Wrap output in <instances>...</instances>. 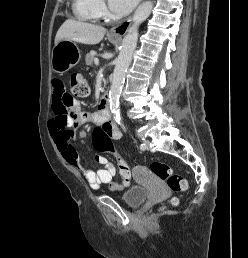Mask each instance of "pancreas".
Segmentation results:
<instances>
[{"instance_id": "1", "label": "pancreas", "mask_w": 248, "mask_h": 258, "mask_svg": "<svg viewBox=\"0 0 248 258\" xmlns=\"http://www.w3.org/2000/svg\"><path fill=\"white\" fill-rule=\"evenodd\" d=\"M95 60V52L91 51L90 53H87L85 61L88 66H92L93 62Z\"/></svg>"}]
</instances>
